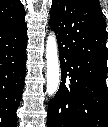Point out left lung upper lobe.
<instances>
[{
	"label": "left lung upper lobe",
	"instance_id": "1",
	"mask_svg": "<svg viewBox=\"0 0 108 127\" xmlns=\"http://www.w3.org/2000/svg\"><path fill=\"white\" fill-rule=\"evenodd\" d=\"M77 66L76 67H74V65H72V67H70L69 68V70H68V78L70 79V81L73 79V80H76V71L75 70H77ZM75 82V81H74Z\"/></svg>",
	"mask_w": 108,
	"mask_h": 127
}]
</instances>
